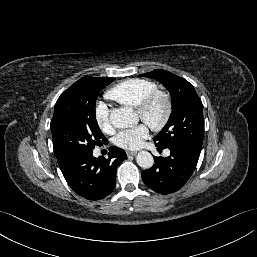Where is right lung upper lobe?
Returning <instances> with one entry per match:
<instances>
[{"instance_id":"cb5924a9","label":"right lung upper lobe","mask_w":257,"mask_h":257,"mask_svg":"<svg viewBox=\"0 0 257 257\" xmlns=\"http://www.w3.org/2000/svg\"><path fill=\"white\" fill-rule=\"evenodd\" d=\"M85 77H87V76H85ZM85 77H82V78H85ZM100 78H103V77H100ZM57 161H58V164H59V166L62 170V169L66 168L68 166L70 160L69 159L57 158Z\"/></svg>"}]
</instances>
